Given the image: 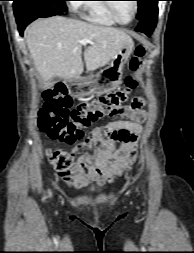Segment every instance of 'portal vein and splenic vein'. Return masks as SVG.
Masks as SVG:
<instances>
[{"mask_svg": "<svg viewBox=\"0 0 194 253\" xmlns=\"http://www.w3.org/2000/svg\"><path fill=\"white\" fill-rule=\"evenodd\" d=\"M80 43H81L82 45H86L87 43L93 44V42H91V41L88 40V39H82V40L80 41Z\"/></svg>", "mask_w": 194, "mask_h": 253, "instance_id": "obj_1", "label": "portal vein and splenic vein"}]
</instances>
